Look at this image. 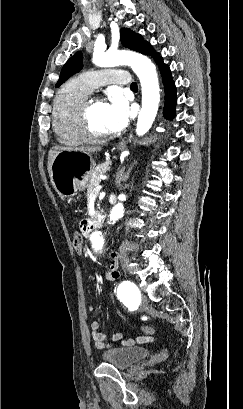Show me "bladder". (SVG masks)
Masks as SVG:
<instances>
[{"instance_id": "obj_1", "label": "bladder", "mask_w": 243, "mask_h": 409, "mask_svg": "<svg viewBox=\"0 0 243 409\" xmlns=\"http://www.w3.org/2000/svg\"><path fill=\"white\" fill-rule=\"evenodd\" d=\"M150 355L144 347H113L102 353V359L119 369H127Z\"/></svg>"}]
</instances>
